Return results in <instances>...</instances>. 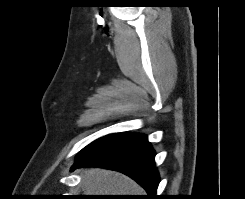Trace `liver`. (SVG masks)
Returning <instances> with one entry per match:
<instances>
[{
  "instance_id": "1",
  "label": "liver",
  "mask_w": 245,
  "mask_h": 199,
  "mask_svg": "<svg viewBox=\"0 0 245 199\" xmlns=\"http://www.w3.org/2000/svg\"><path fill=\"white\" fill-rule=\"evenodd\" d=\"M86 195H142V188L120 173L99 168L81 171Z\"/></svg>"
}]
</instances>
